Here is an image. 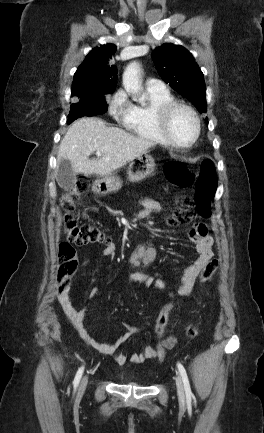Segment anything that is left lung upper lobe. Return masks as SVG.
<instances>
[{"mask_svg":"<svg viewBox=\"0 0 264 433\" xmlns=\"http://www.w3.org/2000/svg\"><path fill=\"white\" fill-rule=\"evenodd\" d=\"M152 58L161 78L201 114L206 113L204 77L192 54L182 46L166 43L153 51Z\"/></svg>","mask_w":264,"mask_h":433,"instance_id":"left-lung-upper-lobe-1","label":"left lung upper lobe"}]
</instances>
